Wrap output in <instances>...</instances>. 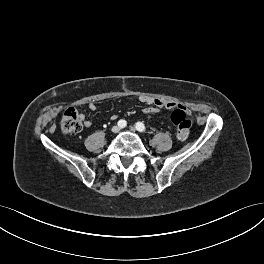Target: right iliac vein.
Instances as JSON below:
<instances>
[{"label": "right iliac vein", "mask_w": 264, "mask_h": 264, "mask_svg": "<svg viewBox=\"0 0 264 264\" xmlns=\"http://www.w3.org/2000/svg\"><path fill=\"white\" fill-rule=\"evenodd\" d=\"M111 131L113 133H118L120 131V127L119 126H113L112 129H111Z\"/></svg>", "instance_id": "1"}]
</instances>
